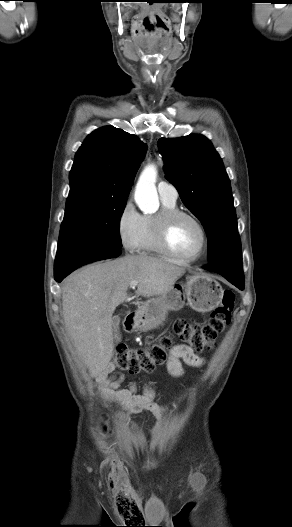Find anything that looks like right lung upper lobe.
<instances>
[{
    "label": "right lung upper lobe",
    "instance_id": "1",
    "mask_svg": "<svg viewBox=\"0 0 292 527\" xmlns=\"http://www.w3.org/2000/svg\"><path fill=\"white\" fill-rule=\"evenodd\" d=\"M145 152L146 145L135 135L113 126L97 129L75 155L70 186L128 196Z\"/></svg>",
    "mask_w": 292,
    "mask_h": 527
}]
</instances>
